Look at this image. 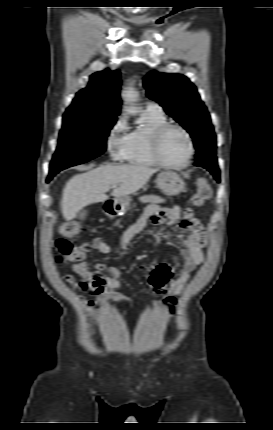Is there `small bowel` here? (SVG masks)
I'll list each match as a JSON object with an SVG mask.
<instances>
[{"label": "small bowel", "instance_id": "small-bowel-1", "mask_svg": "<svg viewBox=\"0 0 273 430\" xmlns=\"http://www.w3.org/2000/svg\"><path fill=\"white\" fill-rule=\"evenodd\" d=\"M155 225L167 224L173 226L180 224L181 229L187 230L188 234L184 235L178 232L183 248L180 251L182 265L180 275L177 279L171 280L173 275V266L168 263L159 265L151 274L149 284L152 289L158 293L167 295L164 299L165 305L171 307L174 301L173 295H179L186 285L190 274L194 269L202 264L204 260L203 249L207 244V234L203 225L195 218L190 209L183 210L178 205L161 206L158 204L149 205L142 217L123 234L120 242L119 255L123 257L128 252L130 241L140 233L148 223ZM92 246L95 250L103 254H113L114 251L108 240L98 237L93 240ZM143 269V267H141ZM73 271L80 276V281L91 291V294L100 296V303L108 305L110 300L121 299L118 292L123 285L120 280V270L116 267H106L103 264H97L93 271L89 270L85 264L79 263L73 266ZM94 335L98 332L94 330Z\"/></svg>", "mask_w": 273, "mask_h": 430}]
</instances>
